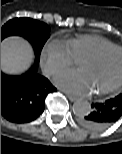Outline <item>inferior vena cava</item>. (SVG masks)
I'll return each mask as SVG.
<instances>
[{
    "mask_svg": "<svg viewBox=\"0 0 122 154\" xmlns=\"http://www.w3.org/2000/svg\"><path fill=\"white\" fill-rule=\"evenodd\" d=\"M44 75H47V72L46 71H44Z\"/></svg>",
    "mask_w": 122,
    "mask_h": 154,
    "instance_id": "1",
    "label": "inferior vena cava"
}]
</instances>
